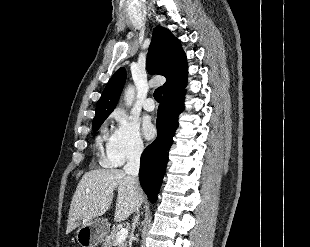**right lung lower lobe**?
<instances>
[{"label":"right lung lower lobe","mask_w":310,"mask_h":247,"mask_svg":"<svg viewBox=\"0 0 310 247\" xmlns=\"http://www.w3.org/2000/svg\"><path fill=\"white\" fill-rule=\"evenodd\" d=\"M186 85V84H185ZM185 85L164 93L158 108L156 140L143 152L140 161L139 179L148 199H157L168 162V151L178 127V115L183 111Z\"/></svg>","instance_id":"98d812e1"}]
</instances>
